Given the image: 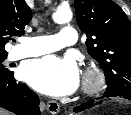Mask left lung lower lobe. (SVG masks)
I'll return each instance as SVG.
<instances>
[{
  "mask_svg": "<svg viewBox=\"0 0 131 115\" xmlns=\"http://www.w3.org/2000/svg\"><path fill=\"white\" fill-rule=\"evenodd\" d=\"M114 97L125 98V99L131 100V95H107V94H104V98H114ZM99 103H101V102L99 101L97 103H94L93 100L92 101H88L86 103L81 104L80 106L75 107L73 111L74 112H81V111L89 109L90 107H92L94 105H97Z\"/></svg>",
  "mask_w": 131,
  "mask_h": 115,
  "instance_id": "left-lung-lower-lobe-1",
  "label": "left lung lower lobe"
}]
</instances>
